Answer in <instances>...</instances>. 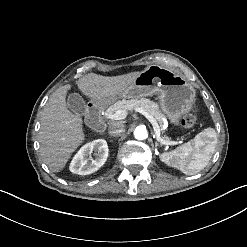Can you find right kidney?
I'll list each match as a JSON object with an SVG mask.
<instances>
[{
    "label": "right kidney",
    "instance_id": "obj_1",
    "mask_svg": "<svg viewBox=\"0 0 247 247\" xmlns=\"http://www.w3.org/2000/svg\"><path fill=\"white\" fill-rule=\"evenodd\" d=\"M96 150L95 160L87 162V156ZM108 146L105 139H96L82 145L72 157L69 171L78 175H89L96 172L108 158Z\"/></svg>",
    "mask_w": 247,
    "mask_h": 247
}]
</instances>
